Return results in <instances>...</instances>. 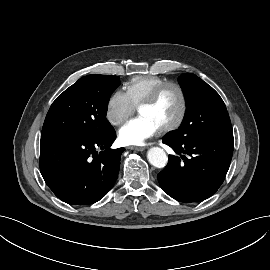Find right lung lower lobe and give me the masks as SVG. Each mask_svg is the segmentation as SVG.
Returning a JSON list of instances; mask_svg holds the SVG:
<instances>
[{"mask_svg": "<svg viewBox=\"0 0 270 270\" xmlns=\"http://www.w3.org/2000/svg\"><path fill=\"white\" fill-rule=\"evenodd\" d=\"M115 138L114 128L98 138L41 135L40 171L48 187L69 204L102 199L117 178L124 151L110 149Z\"/></svg>", "mask_w": 270, "mask_h": 270, "instance_id": "obj_1", "label": "right lung lower lobe"}]
</instances>
